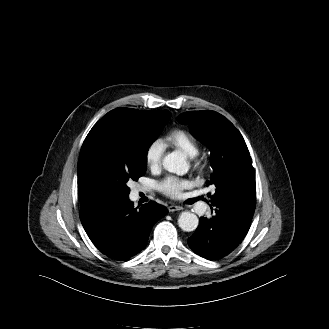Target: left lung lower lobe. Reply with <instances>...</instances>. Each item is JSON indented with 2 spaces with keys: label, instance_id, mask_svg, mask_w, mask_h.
<instances>
[{
  "label": "left lung lower lobe",
  "instance_id": "obj_1",
  "mask_svg": "<svg viewBox=\"0 0 329 329\" xmlns=\"http://www.w3.org/2000/svg\"><path fill=\"white\" fill-rule=\"evenodd\" d=\"M255 173L228 200L214 202L212 218L201 217L189 247L198 255L213 260L232 252L246 236L255 210Z\"/></svg>",
  "mask_w": 329,
  "mask_h": 329
}]
</instances>
